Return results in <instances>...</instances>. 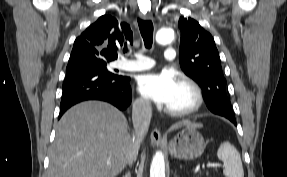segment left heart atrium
<instances>
[{"label": "left heart atrium", "mask_w": 287, "mask_h": 177, "mask_svg": "<svg viewBox=\"0 0 287 177\" xmlns=\"http://www.w3.org/2000/svg\"><path fill=\"white\" fill-rule=\"evenodd\" d=\"M178 84L176 76L171 71L163 70L142 75L138 79L137 89L144 98L166 106Z\"/></svg>", "instance_id": "left-heart-atrium-1"}]
</instances>
